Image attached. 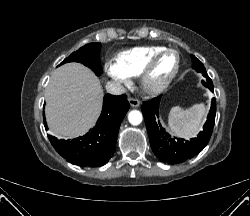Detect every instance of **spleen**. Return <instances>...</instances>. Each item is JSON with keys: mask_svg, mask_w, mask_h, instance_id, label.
<instances>
[{"mask_svg": "<svg viewBox=\"0 0 250 216\" xmlns=\"http://www.w3.org/2000/svg\"><path fill=\"white\" fill-rule=\"evenodd\" d=\"M206 115L204 104H194L188 109L174 107L168 116L170 130L184 138L195 137L202 129L203 120Z\"/></svg>", "mask_w": 250, "mask_h": 216, "instance_id": "spleen-1", "label": "spleen"}]
</instances>
